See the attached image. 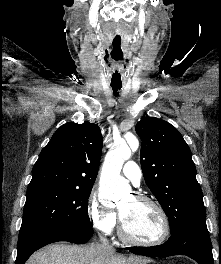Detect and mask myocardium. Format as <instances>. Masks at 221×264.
I'll use <instances>...</instances> for the list:
<instances>
[{
    "instance_id": "f54148a6",
    "label": "myocardium",
    "mask_w": 221,
    "mask_h": 264,
    "mask_svg": "<svg viewBox=\"0 0 221 264\" xmlns=\"http://www.w3.org/2000/svg\"><path fill=\"white\" fill-rule=\"evenodd\" d=\"M133 198L139 202H146L151 204L159 213L161 219H162V223H163V231L161 236L154 240V241H141V240H137L135 238H133L127 231L124 222L121 218V215H119V235L121 237V239L131 245H135V246H141V247H155V246H159L161 244H163L164 242H166V240L169 238L170 236V220L169 217L166 213V211L164 210V208L162 207V205L155 200L154 198L144 195V194H137L134 195Z\"/></svg>"
}]
</instances>
